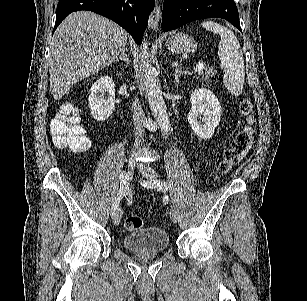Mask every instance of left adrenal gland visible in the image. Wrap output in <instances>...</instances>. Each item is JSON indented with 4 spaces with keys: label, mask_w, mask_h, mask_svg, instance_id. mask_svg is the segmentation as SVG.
I'll list each match as a JSON object with an SVG mask.
<instances>
[{
    "label": "left adrenal gland",
    "mask_w": 307,
    "mask_h": 301,
    "mask_svg": "<svg viewBox=\"0 0 307 301\" xmlns=\"http://www.w3.org/2000/svg\"><path fill=\"white\" fill-rule=\"evenodd\" d=\"M173 68H175L174 82L178 86V84H180V78H181L182 74H190V72H188V70H184V68H182V66H180L178 60H175V62H173Z\"/></svg>",
    "instance_id": "left-adrenal-gland-1"
}]
</instances>
